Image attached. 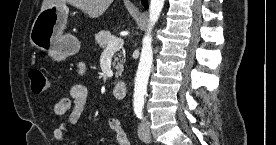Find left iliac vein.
I'll use <instances>...</instances> for the list:
<instances>
[{
	"mask_svg": "<svg viewBox=\"0 0 276 145\" xmlns=\"http://www.w3.org/2000/svg\"><path fill=\"white\" fill-rule=\"evenodd\" d=\"M138 136L143 142L148 143L151 141L149 122L146 119H143L139 125Z\"/></svg>",
	"mask_w": 276,
	"mask_h": 145,
	"instance_id": "obj_1",
	"label": "left iliac vein"
}]
</instances>
